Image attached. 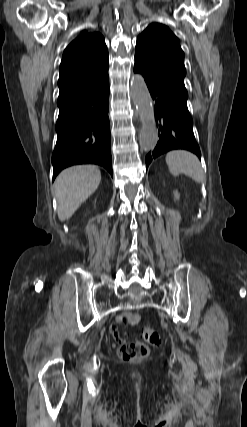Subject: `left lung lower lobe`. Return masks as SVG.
I'll return each mask as SVG.
<instances>
[{
    "mask_svg": "<svg viewBox=\"0 0 247 427\" xmlns=\"http://www.w3.org/2000/svg\"><path fill=\"white\" fill-rule=\"evenodd\" d=\"M134 72L143 75L153 100L160 139L152 152L145 157L146 168L159 155L174 149H184L201 157L193 133V120L187 108V98L166 84L148 75L137 64Z\"/></svg>",
    "mask_w": 247,
    "mask_h": 427,
    "instance_id": "obj_1",
    "label": "left lung lower lobe"
}]
</instances>
